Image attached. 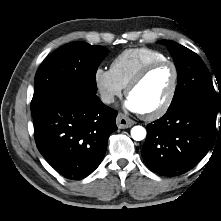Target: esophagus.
Wrapping results in <instances>:
<instances>
[{"mask_svg": "<svg viewBox=\"0 0 221 221\" xmlns=\"http://www.w3.org/2000/svg\"><path fill=\"white\" fill-rule=\"evenodd\" d=\"M116 123H117L118 128L120 129L129 128L135 124V122L132 119L128 118L122 113H119L117 115Z\"/></svg>", "mask_w": 221, "mask_h": 221, "instance_id": "obj_1", "label": "esophagus"}]
</instances>
